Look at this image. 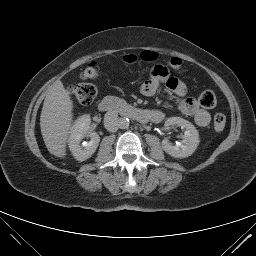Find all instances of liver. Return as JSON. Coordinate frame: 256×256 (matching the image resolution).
<instances>
[{"mask_svg": "<svg viewBox=\"0 0 256 256\" xmlns=\"http://www.w3.org/2000/svg\"><path fill=\"white\" fill-rule=\"evenodd\" d=\"M73 101L57 80L48 91L40 116V128L48 151L56 157L65 158L66 143L73 119Z\"/></svg>", "mask_w": 256, "mask_h": 256, "instance_id": "liver-1", "label": "liver"}]
</instances>
